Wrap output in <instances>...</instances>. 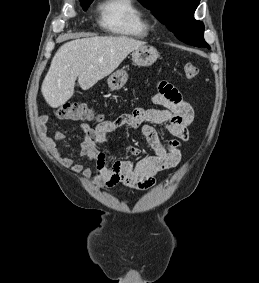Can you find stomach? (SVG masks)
<instances>
[{
  "label": "stomach",
  "instance_id": "obj_1",
  "mask_svg": "<svg viewBox=\"0 0 259 283\" xmlns=\"http://www.w3.org/2000/svg\"><path fill=\"white\" fill-rule=\"evenodd\" d=\"M159 53L156 48L148 45H143L135 49L132 53V60L137 66L147 67L152 65ZM128 80V74L124 69L117 70L107 79L108 86L111 90L121 89Z\"/></svg>",
  "mask_w": 259,
  "mask_h": 283
}]
</instances>
